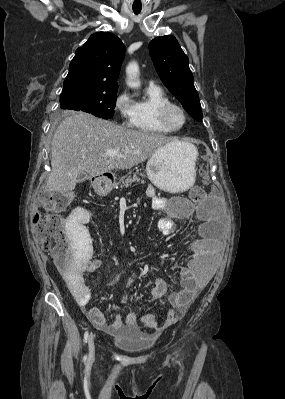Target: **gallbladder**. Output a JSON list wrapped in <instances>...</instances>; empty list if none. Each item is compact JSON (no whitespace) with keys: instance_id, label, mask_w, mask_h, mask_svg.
I'll list each match as a JSON object with an SVG mask.
<instances>
[{"instance_id":"gallbladder-1","label":"gallbladder","mask_w":285,"mask_h":399,"mask_svg":"<svg viewBox=\"0 0 285 399\" xmlns=\"http://www.w3.org/2000/svg\"><path fill=\"white\" fill-rule=\"evenodd\" d=\"M86 179H88V175L85 174V173H80V174L78 175V178H77V180H78L79 183H80V182H83V181L86 180Z\"/></svg>"}]
</instances>
